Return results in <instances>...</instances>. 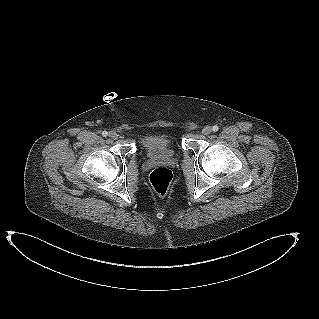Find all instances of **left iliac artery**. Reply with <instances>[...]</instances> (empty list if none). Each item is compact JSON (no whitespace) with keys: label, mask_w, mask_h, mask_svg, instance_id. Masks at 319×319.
Wrapping results in <instances>:
<instances>
[{"label":"left iliac artery","mask_w":319,"mask_h":319,"mask_svg":"<svg viewBox=\"0 0 319 319\" xmlns=\"http://www.w3.org/2000/svg\"><path fill=\"white\" fill-rule=\"evenodd\" d=\"M218 130H219V127H218L217 125H214V126H213V131H214V132H217Z\"/></svg>","instance_id":"left-iliac-artery-1"}]
</instances>
